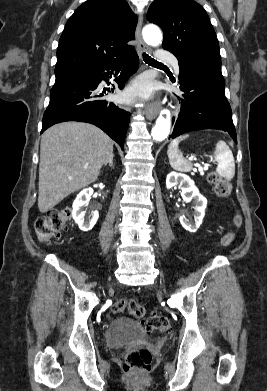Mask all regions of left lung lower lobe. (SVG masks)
Listing matches in <instances>:
<instances>
[{
    "instance_id": "1",
    "label": "left lung lower lobe",
    "mask_w": 267,
    "mask_h": 391,
    "mask_svg": "<svg viewBox=\"0 0 267 391\" xmlns=\"http://www.w3.org/2000/svg\"><path fill=\"white\" fill-rule=\"evenodd\" d=\"M178 62L179 85L184 98L172 138L189 131L217 129L227 131L237 143L230 104L224 94L222 73L205 67L184 65L180 60Z\"/></svg>"
}]
</instances>
